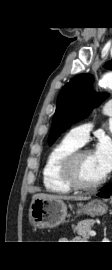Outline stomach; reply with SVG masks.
<instances>
[{
  "label": "stomach",
  "mask_w": 112,
  "mask_h": 270,
  "mask_svg": "<svg viewBox=\"0 0 112 270\" xmlns=\"http://www.w3.org/2000/svg\"><path fill=\"white\" fill-rule=\"evenodd\" d=\"M107 209L108 207L103 201L94 199L86 205H81L77 213L98 216L105 214ZM29 216L35 227L53 228L64 222L67 207L62 199L35 198L30 204Z\"/></svg>",
  "instance_id": "1"
}]
</instances>
